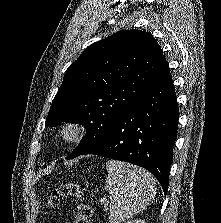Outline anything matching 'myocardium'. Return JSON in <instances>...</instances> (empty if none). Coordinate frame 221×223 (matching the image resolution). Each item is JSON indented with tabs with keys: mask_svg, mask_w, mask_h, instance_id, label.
<instances>
[{
	"mask_svg": "<svg viewBox=\"0 0 221 223\" xmlns=\"http://www.w3.org/2000/svg\"><path fill=\"white\" fill-rule=\"evenodd\" d=\"M89 128L80 118L65 120L57 131L59 142L66 146L77 145L84 141Z\"/></svg>",
	"mask_w": 221,
	"mask_h": 223,
	"instance_id": "1",
	"label": "myocardium"
}]
</instances>
